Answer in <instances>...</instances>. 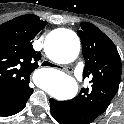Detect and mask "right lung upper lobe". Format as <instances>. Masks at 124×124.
Masks as SVG:
<instances>
[{"mask_svg": "<svg viewBox=\"0 0 124 124\" xmlns=\"http://www.w3.org/2000/svg\"><path fill=\"white\" fill-rule=\"evenodd\" d=\"M46 24L26 14L0 25V106L19 103L32 94L30 74L41 57L32 39Z\"/></svg>", "mask_w": 124, "mask_h": 124, "instance_id": "1", "label": "right lung upper lobe"}]
</instances>
